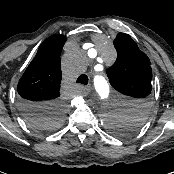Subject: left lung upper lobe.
Masks as SVG:
<instances>
[{"label":"left lung upper lobe","mask_w":174,"mask_h":174,"mask_svg":"<svg viewBox=\"0 0 174 174\" xmlns=\"http://www.w3.org/2000/svg\"><path fill=\"white\" fill-rule=\"evenodd\" d=\"M117 60L107 70L111 85L120 93L134 98L130 110L121 117H109L111 132L128 136L145 122L150 108L152 71L150 60L130 35L119 33L114 40Z\"/></svg>","instance_id":"1"}]
</instances>
